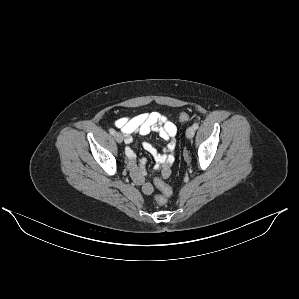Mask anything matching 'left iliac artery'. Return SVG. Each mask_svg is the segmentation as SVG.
Returning a JSON list of instances; mask_svg holds the SVG:
<instances>
[{"label":"left iliac artery","mask_w":299,"mask_h":299,"mask_svg":"<svg viewBox=\"0 0 299 299\" xmlns=\"http://www.w3.org/2000/svg\"><path fill=\"white\" fill-rule=\"evenodd\" d=\"M198 127H199L198 123H194V124H193V128H194L195 130L198 129Z\"/></svg>","instance_id":"left-iliac-artery-1"}]
</instances>
